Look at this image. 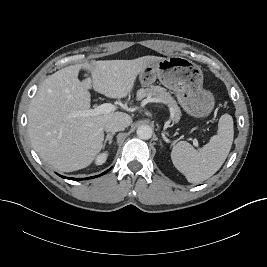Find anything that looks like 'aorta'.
Masks as SVG:
<instances>
[{"label": "aorta", "instance_id": "obj_1", "mask_svg": "<svg viewBox=\"0 0 267 267\" xmlns=\"http://www.w3.org/2000/svg\"><path fill=\"white\" fill-rule=\"evenodd\" d=\"M136 133L140 139L148 140L152 137L153 130L149 125H141L137 128Z\"/></svg>", "mask_w": 267, "mask_h": 267}]
</instances>
